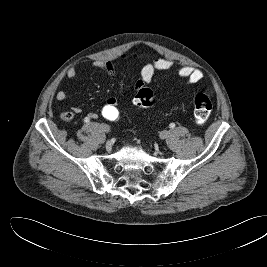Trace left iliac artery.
Returning <instances> with one entry per match:
<instances>
[{
    "label": "left iliac artery",
    "instance_id": "left-iliac-artery-1",
    "mask_svg": "<svg viewBox=\"0 0 267 267\" xmlns=\"http://www.w3.org/2000/svg\"><path fill=\"white\" fill-rule=\"evenodd\" d=\"M175 127V124L174 123H171L170 124V128H174Z\"/></svg>",
    "mask_w": 267,
    "mask_h": 267
}]
</instances>
